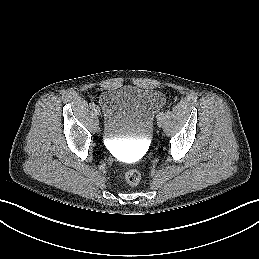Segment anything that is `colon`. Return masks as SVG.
Segmentation results:
<instances>
[{"instance_id":"obj_1","label":"colon","mask_w":259,"mask_h":259,"mask_svg":"<svg viewBox=\"0 0 259 259\" xmlns=\"http://www.w3.org/2000/svg\"><path fill=\"white\" fill-rule=\"evenodd\" d=\"M120 180L129 185V186H137L141 181V174L136 169H129L120 174Z\"/></svg>"}]
</instances>
